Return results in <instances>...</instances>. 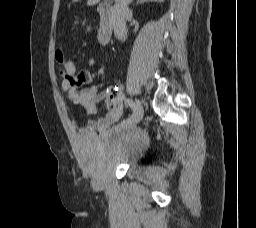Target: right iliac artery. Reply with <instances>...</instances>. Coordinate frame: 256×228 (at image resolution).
<instances>
[{"instance_id":"obj_1","label":"right iliac artery","mask_w":256,"mask_h":228,"mask_svg":"<svg viewBox=\"0 0 256 228\" xmlns=\"http://www.w3.org/2000/svg\"><path fill=\"white\" fill-rule=\"evenodd\" d=\"M126 104L134 111L135 104L131 99H127Z\"/></svg>"}]
</instances>
